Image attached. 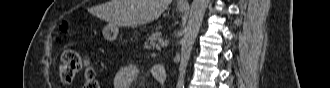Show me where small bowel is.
Here are the masks:
<instances>
[{"mask_svg": "<svg viewBox=\"0 0 330 88\" xmlns=\"http://www.w3.org/2000/svg\"><path fill=\"white\" fill-rule=\"evenodd\" d=\"M139 74L140 69L137 66H128L119 70L114 77V88H130ZM151 74L156 81H164L166 77L165 67L160 64L153 65Z\"/></svg>", "mask_w": 330, "mask_h": 88, "instance_id": "1", "label": "small bowel"}]
</instances>
